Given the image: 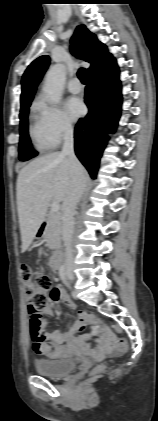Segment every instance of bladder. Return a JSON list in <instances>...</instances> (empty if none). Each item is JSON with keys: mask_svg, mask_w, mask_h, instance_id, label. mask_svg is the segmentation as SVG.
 Segmentation results:
<instances>
[{"mask_svg": "<svg viewBox=\"0 0 158 421\" xmlns=\"http://www.w3.org/2000/svg\"><path fill=\"white\" fill-rule=\"evenodd\" d=\"M77 362L72 357H60L55 359H37L34 362L38 374L48 377H61L72 372Z\"/></svg>", "mask_w": 158, "mask_h": 421, "instance_id": "obj_1", "label": "bladder"}]
</instances>
